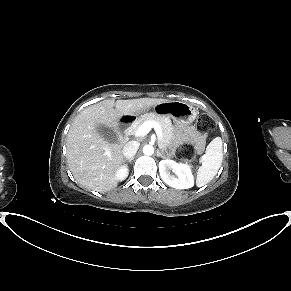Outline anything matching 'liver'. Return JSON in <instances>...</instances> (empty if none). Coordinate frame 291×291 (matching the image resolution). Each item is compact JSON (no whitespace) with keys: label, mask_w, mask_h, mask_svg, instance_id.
<instances>
[{"label":"liver","mask_w":291,"mask_h":291,"mask_svg":"<svg viewBox=\"0 0 291 291\" xmlns=\"http://www.w3.org/2000/svg\"><path fill=\"white\" fill-rule=\"evenodd\" d=\"M165 99L139 98L104 100L84 109L73 121L67 135V163L75 180L85 188L107 192L118 181L117 169L124 162L122 145L103 139L100 125L117 130L123 116H137ZM115 106V109H114Z\"/></svg>","instance_id":"liver-1"}]
</instances>
